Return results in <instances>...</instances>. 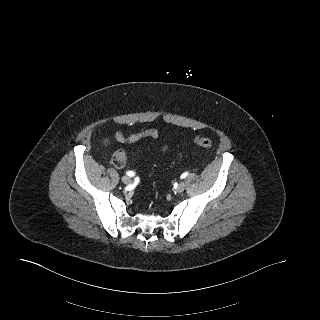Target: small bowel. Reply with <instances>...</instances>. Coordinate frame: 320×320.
I'll return each instance as SVG.
<instances>
[{
    "instance_id": "1",
    "label": "small bowel",
    "mask_w": 320,
    "mask_h": 320,
    "mask_svg": "<svg viewBox=\"0 0 320 320\" xmlns=\"http://www.w3.org/2000/svg\"><path fill=\"white\" fill-rule=\"evenodd\" d=\"M114 136L118 142L123 144H130L135 143L143 138H150L155 140L158 138V131L156 129L150 128L129 135H126L121 131H116ZM162 150L163 152H166L168 150V147L165 145L162 147Z\"/></svg>"
}]
</instances>
